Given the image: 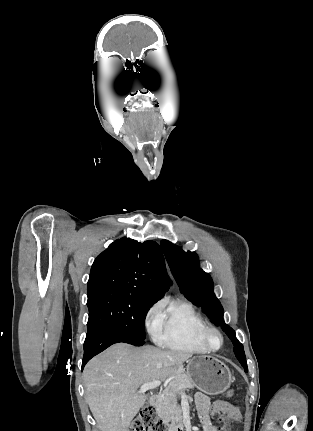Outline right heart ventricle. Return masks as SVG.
Masks as SVG:
<instances>
[{
    "instance_id": "obj_1",
    "label": "right heart ventricle",
    "mask_w": 313,
    "mask_h": 431,
    "mask_svg": "<svg viewBox=\"0 0 313 431\" xmlns=\"http://www.w3.org/2000/svg\"><path fill=\"white\" fill-rule=\"evenodd\" d=\"M162 325L156 341L163 347L189 353H205L202 342L207 323L194 305L185 300H173L162 307Z\"/></svg>"
}]
</instances>
